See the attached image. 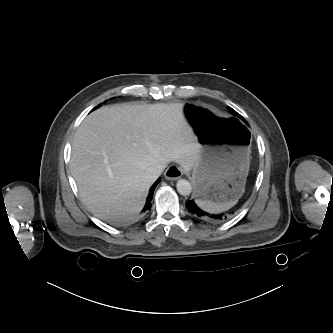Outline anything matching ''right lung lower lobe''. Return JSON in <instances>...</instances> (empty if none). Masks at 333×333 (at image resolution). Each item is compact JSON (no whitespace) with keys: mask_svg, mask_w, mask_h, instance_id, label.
I'll return each mask as SVG.
<instances>
[{"mask_svg":"<svg viewBox=\"0 0 333 333\" xmlns=\"http://www.w3.org/2000/svg\"><path fill=\"white\" fill-rule=\"evenodd\" d=\"M159 182H160V178L150 188L149 195H148V198L146 200V205L143 208V212L146 211V210H149L151 208V200H152V197H153V192H154L155 187L157 186V184Z\"/></svg>","mask_w":333,"mask_h":333,"instance_id":"1","label":"right lung lower lobe"}]
</instances>
